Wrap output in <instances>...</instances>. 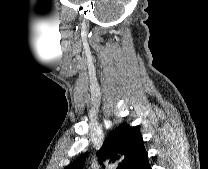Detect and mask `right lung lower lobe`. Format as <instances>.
<instances>
[{
	"label": "right lung lower lobe",
	"mask_w": 208,
	"mask_h": 169,
	"mask_svg": "<svg viewBox=\"0 0 208 169\" xmlns=\"http://www.w3.org/2000/svg\"><path fill=\"white\" fill-rule=\"evenodd\" d=\"M139 169H151V166H150V164H149L148 158H147L146 161L139 167Z\"/></svg>",
	"instance_id": "right-lung-lower-lobe-1"
}]
</instances>
